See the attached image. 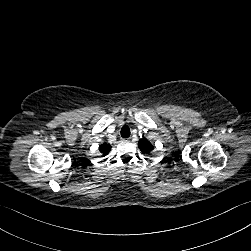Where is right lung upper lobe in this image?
<instances>
[{
	"label": "right lung upper lobe",
	"mask_w": 251,
	"mask_h": 251,
	"mask_svg": "<svg viewBox=\"0 0 251 251\" xmlns=\"http://www.w3.org/2000/svg\"><path fill=\"white\" fill-rule=\"evenodd\" d=\"M111 150V146L107 143H104L100 146L99 151L102 154V156L107 155Z\"/></svg>",
	"instance_id": "right-lung-upper-lobe-1"
}]
</instances>
